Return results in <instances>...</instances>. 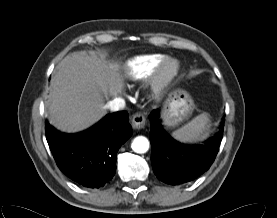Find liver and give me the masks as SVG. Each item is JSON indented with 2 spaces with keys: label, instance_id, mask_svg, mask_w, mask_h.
Returning a JSON list of instances; mask_svg holds the SVG:
<instances>
[{
  "label": "liver",
  "instance_id": "obj_1",
  "mask_svg": "<svg viewBox=\"0 0 277 218\" xmlns=\"http://www.w3.org/2000/svg\"><path fill=\"white\" fill-rule=\"evenodd\" d=\"M119 65L94 52H73L58 65L51 84L47 114L56 128L77 132L106 114V100L122 90Z\"/></svg>",
  "mask_w": 277,
  "mask_h": 218
}]
</instances>
